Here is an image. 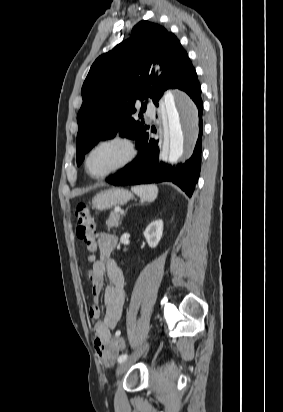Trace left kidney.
<instances>
[{"label":"left kidney","mask_w":283,"mask_h":412,"mask_svg":"<svg viewBox=\"0 0 283 412\" xmlns=\"http://www.w3.org/2000/svg\"><path fill=\"white\" fill-rule=\"evenodd\" d=\"M143 234L149 247L155 248L162 238L163 221L160 219L153 221L147 226Z\"/></svg>","instance_id":"5707ae66"}]
</instances>
